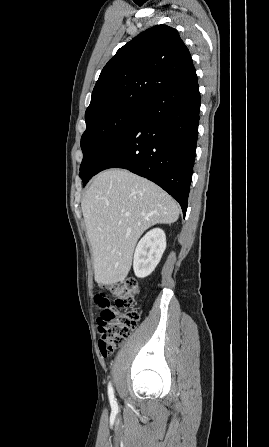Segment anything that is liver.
Segmentation results:
<instances>
[{
    "instance_id": "6515ba94",
    "label": "liver",
    "mask_w": 269,
    "mask_h": 447,
    "mask_svg": "<svg viewBox=\"0 0 269 447\" xmlns=\"http://www.w3.org/2000/svg\"><path fill=\"white\" fill-rule=\"evenodd\" d=\"M100 285L124 279L137 239L155 224H173L179 208L159 186L127 170H105L93 178L81 202Z\"/></svg>"
}]
</instances>
